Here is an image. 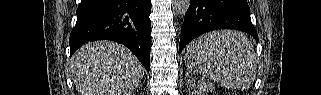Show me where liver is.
Here are the masks:
<instances>
[{"label":"liver","instance_id":"1","mask_svg":"<svg viewBox=\"0 0 321 95\" xmlns=\"http://www.w3.org/2000/svg\"><path fill=\"white\" fill-rule=\"evenodd\" d=\"M70 70L80 95H127L144 76V68L125 46L97 41L80 48Z\"/></svg>","mask_w":321,"mask_h":95}]
</instances>
